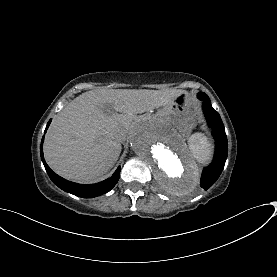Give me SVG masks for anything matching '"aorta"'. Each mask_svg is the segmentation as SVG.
Returning <instances> with one entry per match:
<instances>
[{
	"label": "aorta",
	"mask_w": 277,
	"mask_h": 277,
	"mask_svg": "<svg viewBox=\"0 0 277 277\" xmlns=\"http://www.w3.org/2000/svg\"><path fill=\"white\" fill-rule=\"evenodd\" d=\"M130 142L166 192L182 196L196 189L197 166L185 143L168 125L154 117H145L133 126Z\"/></svg>",
	"instance_id": "aorta-1"
}]
</instances>
